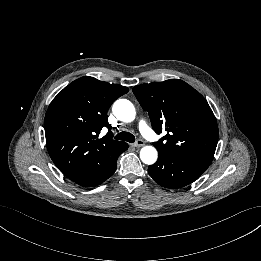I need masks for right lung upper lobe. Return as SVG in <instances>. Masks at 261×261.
I'll list each match as a JSON object with an SVG mask.
<instances>
[{"instance_id": "1", "label": "right lung upper lobe", "mask_w": 261, "mask_h": 261, "mask_svg": "<svg viewBox=\"0 0 261 261\" xmlns=\"http://www.w3.org/2000/svg\"><path fill=\"white\" fill-rule=\"evenodd\" d=\"M128 91L118 84L82 77L51 102L44 122L47 148L55 165L69 179L98 170L111 156L128 148L127 143L111 137L98 138L103 126L111 129L109 107Z\"/></svg>"}]
</instances>
